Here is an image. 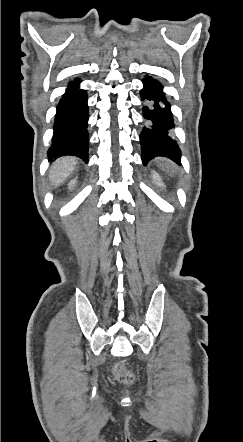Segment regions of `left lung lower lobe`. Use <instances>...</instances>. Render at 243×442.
Returning <instances> with one entry per match:
<instances>
[{"instance_id": "0a47b994", "label": "left lung lower lobe", "mask_w": 243, "mask_h": 442, "mask_svg": "<svg viewBox=\"0 0 243 442\" xmlns=\"http://www.w3.org/2000/svg\"><path fill=\"white\" fill-rule=\"evenodd\" d=\"M140 91L142 100H146L143 115L148 120L140 135L142 161L144 165L157 156L168 157L180 163L181 152L170 130L175 126L170 104L163 93L161 83L151 76H146Z\"/></svg>"}]
</instances>
